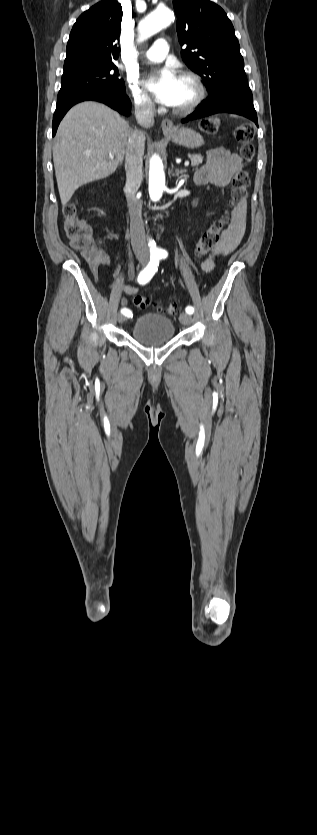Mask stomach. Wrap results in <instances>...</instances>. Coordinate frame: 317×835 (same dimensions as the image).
Here are the masks:
<instances>
[{"label":"stomach","instance_id":"0dacf381","mask_svg":"<svg viewBox=\"0 0 317 835\" xmlns=\"http://www.w3.org/2000/svg\"><path fill=\"white\" fill-rule=\"evenodd\" d=\"M164 134L169 137L173 143L187 148H199L204 144L203 137L192 128H175L174 131L169 133L164 132Z\"/></svg>","mask_w":317,"mask_h":835}]
</instances>
